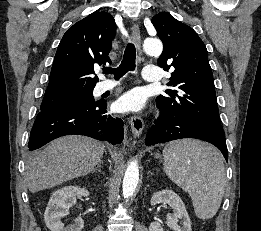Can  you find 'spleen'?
I'll use <instances>...</instances> for the list:
<instances>
[{"instance_id":"obj_1","label":"spleen","mask_w":261,"mask_h":231,"mask_svg":"<svg viewBox=\"0 0 261 231\" xmlns=\"http://www.w3.org/2000/svg\"><path fill=\"white\" fill-rule=\"evenodd\" d=\"M164 171L187 192L200 219H210L218 211L225 190L224 159L213 146L196 139L168 143L164 150Z\"/></svg>"}]
</instances>
